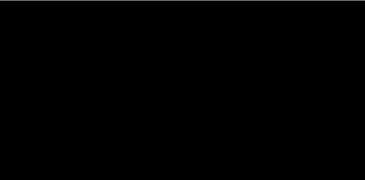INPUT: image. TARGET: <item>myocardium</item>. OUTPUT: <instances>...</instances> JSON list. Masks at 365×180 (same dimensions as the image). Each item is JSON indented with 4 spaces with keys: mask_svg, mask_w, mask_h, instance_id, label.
Masks as SVG:
<instances>
[{
    "mask_svg": "<svg viewBox=\"0 0 365 180\" xmlns=\"http://www.w3.org/2000/svg\"><path fill=\"white\" fill-rule=\"evenodd\" d=\"M227 76L228 77H231L233 79V83H234L233 91L230 94V96L228 97V99L223 104H221L220 106H218V107L215 108L216 110H224V109H227L228 107H230L235 102V100L238 97L239 91H240V82H239V79L233 73H226L224 75H218V76H216L210 82H208V83H206V84L203 85L204 87L205 86L207 87L209 85H213V83H215V82L219 81L221 78L227 77Z\"/></svg>",
    "mask_w": 365,
    "mask_h": 180,
    "instance_id": "f54148a6",
    "label": "myocardium"
}]
</instances>
